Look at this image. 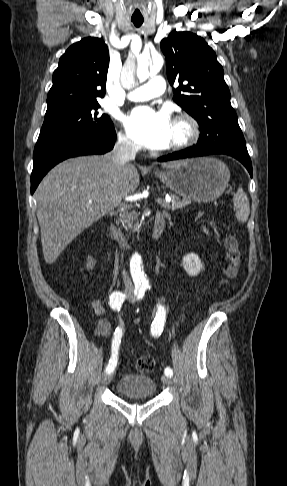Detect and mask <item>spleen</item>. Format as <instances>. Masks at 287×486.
Masks as SVG:
<instances>
[{
    "label": "spleen",
    "instance_id": "3e777b00",
    "mask_svg": "<svg viewBox=\"0 0 287 486\" xmlns=\"http://www.w3.org/2000/svg\"><path fill=\"white\" fill-rule=\"evenodd\" d=\"M233 204L236 208L235 217L239 222L245 223L250 214V205L247 194L242 187H239L237 192L234 194Z\"/></svg>",
    "mask_w": 287,
    "mask_h": 486
}]
</instances>
